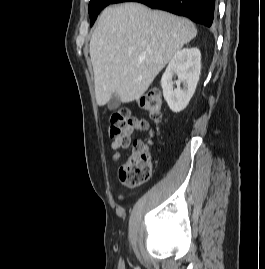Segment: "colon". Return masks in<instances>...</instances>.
<instances>
[{"mask_svg": "<svg viewBox=\"0 0 265 269\" xmlns=\"http://www.w3.org/2000/svg\"><path fill=\"white\" fill-rule=\"evenodd\" d=\"M139 106L150 117L159 121L162 112V97L156 90H149L139 100ZM109 134L117 140L121 149L130 145V135L134 131H143L145 123L143 119L131 115L129 109H121L109 115ZM120 180L127 186H136L150 180L152 176L151 155L148 146L135 141L131 155L119 171Z\"/></svg>", "mask_w": 265, "mask_h": 269, "instance_id": "1", "label": "colon"}]
</instances>
